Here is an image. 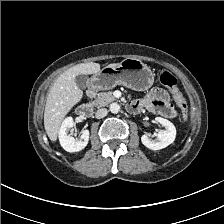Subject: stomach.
<instances>
[{
  "label": "stomach",
  "instance_id": "stomach-1",
  "mask_svg": "<svg viewBox=\"0 0 224 224\" xmlns=\"http://www.w3.org/2000/svg\"><path fill=\"white\" fill-rule=\"evenodd\" d=\"M154 72L135 58H126L117 66H105L90 79L94 90H107L123 85L137 91L149 89L154 83Z\"/></svg>",
  "mask_w": 224,
  "mask_h": 224
}]
</instances>
